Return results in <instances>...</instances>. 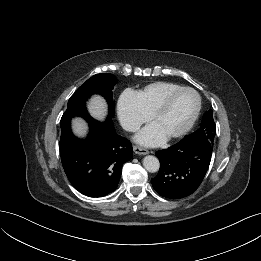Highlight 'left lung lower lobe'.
Returning a JSON list of instances; mask_svg holds the SVG:
<instances>
[{"mask_svg": "<svg viewBox=\"0 0 261 261\" xmlns=\"http://www.w3.org/2000/svg\"><path fill=\"white\" fill-rule=\"evenodd\" d=\"M212 150L213 146L206 139L184 137L168 149L157 151L160 169L152 178L155 191L171 199L191 195L206 175Z\"/></svg>", "mask_w": 261, "mask_h": 261, "instance_id": "0a47b994", "label": "left lung lower lobe"}]
</instances>
